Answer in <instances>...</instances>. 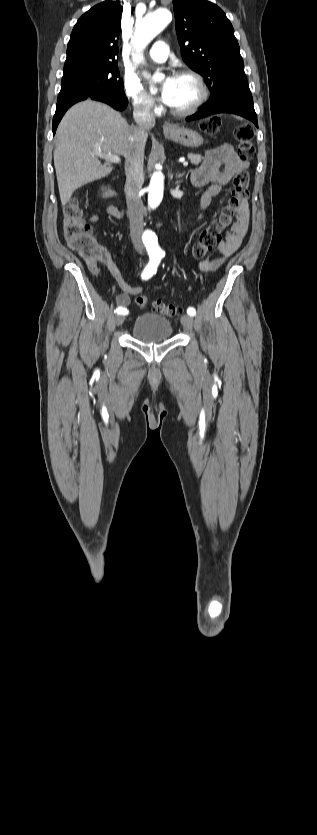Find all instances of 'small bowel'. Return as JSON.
<instances>
[{"instance_id":"c3829d8e","label":"small bowel","mask_w":317,"mask_h":835,"mask_svg":"<svg viewBox=\"0 0 317 835\" xmlns=\"http://www.w3.org/2000/svg\"><path fill=\"white\" fill-rule=\"evenodd\" d=\"M249 163L241 160L230 144H223L206 152L203 162L190 174V181L196 187L207 186L201 196L200 207L208 209L212 198L217 196L222 188L230 183L233 177L241 171L248 169ZM106 190H102L100 198H106ZM106 211L113 216H120V212L112 206H107ZM98 214H93L89 222L98 220ZM249 226V211L245 206L231 230L226 234L225 239L219 243L217 250L219 255L214 258L205 259L199 262L198 268L205 273H211L218 269L226 258L231 256L242 244ZM89 271L97 278L104 276L101 266H105L111 276L115 279L122 292L116 296L118 307L127 309L131 296L142 292L141 286L128 284L112 259L110 253L100 247L91 259H86Z\"/></svg>"}]
</instances>
